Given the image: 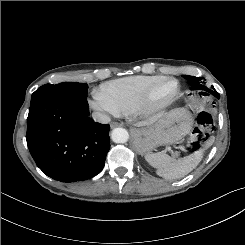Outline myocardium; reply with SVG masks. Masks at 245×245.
I'll return each instance as SVG.
<instances>
[{
  "label": "myocardium",
  "instance_id": "f54148a6",
  "mask_svg": "<svg viewBox=\"0 0 245 245\" xmlns=\"http://www.w3.org/2000/svg\"><path fill=\"white\" fill-rule=\"evenodd\" d=\"M174 84V88L165 93V87ZM180 91V84L177 79L172 77H165L152 88H150L138 104L135 113L139 115H149L161 112L167 108L178 96Z\"/></svg>",
  "mask_w": 245,
  "mask_h": 245
}]
</instances>
